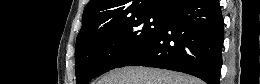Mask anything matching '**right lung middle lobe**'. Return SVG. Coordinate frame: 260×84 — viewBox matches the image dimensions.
Instances as JSON below:
<instances>
[{"label":"right lung middle lobe","instance_id":"dd1d6c3e","mask_svg":"<svg viewBox=\"0 0 260 84\" xmlns=\"http://www.w3.org/2000/svg\"><path fill=\"white\" fill-rule=\"evenodd\" d=\"M166 19L165 13H141L96 27L89 38L76 43L77 84L126 66L157 38Z\"/></svg>","mask_w":260,"mask_h":84}]
</instances>
